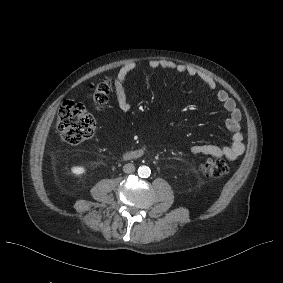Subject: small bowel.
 Masks as SVG:
<instances>
[{
    "label": "small bowel",
    "mask_w": 283,
    "mask_h": 283,
    "mask_svg": "<svg viewBox=\"0 0 283 283\" xmlns=\"http://www.w3.org/2000/svg\"><path fill=\"white\" fill-rule=\"evenodd\" d=\"M148 66L151 69H167L175 71L179 74H186L191 77H198L208 87V89L215 91L216 83L205 73L197 71L193 67H187L182 64L174 63L170 60H156L152 59L148 62ZM137 65L134 62L124 65L114 77V91L120 110L127 112L131 109V101L127 91V79L130 74L135 72ZM216 98L221 103L223 108L228 113L226 119V126L229 131L232 132V141L229 145L217 146L212 144L206 145H194L189 148L190 153L194 155L203 154L216 158H227L229 160H235L243 154L245 146L243 143V135L241 133V111L238 108L234 99L225 91L217 90Z\"/></svg>",
    "instance_id": "1"
}]
</instances>
